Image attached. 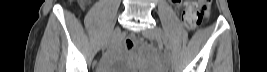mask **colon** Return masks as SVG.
Masks as SVG:
<instances>
[{
	"instance_id": "obj_1",
	"label": "colon",
	"mask_w": 267,
	"mask_h": 72,
	"mask_svg": "<svg viewBox=\"0 0 267 72\" xmlns=\"http://www.w3.org/2000/svg\"><path fill=\"white\" fill-rule=\"evenodd\" d=\"M83 3V1H82ZM211 0H197L195 6L191 9L190 13L195 15L200 22L208 18L210 14Z\"/></svg>"
}]
</instances>
